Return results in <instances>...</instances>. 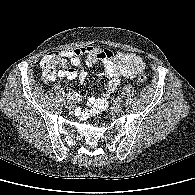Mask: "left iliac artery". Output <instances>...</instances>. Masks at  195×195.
<instances>
[{
	"instance_id": "left-iliac-artery-1",
	"label": "left iliac artery",
	"mask_w": 195,
	"mask_h": 195,
	"mask_svg": "<svg viewBox=\"0 0 195 195\" xmlns=\"http://www.w3.org/2000/svg\"><path fill=\"white\" fill-rule=\"evenodd\" d=\"M117 101H118V102H121V98H120V97H118V98H117Z\"/></svg>"
}]
</instances>
